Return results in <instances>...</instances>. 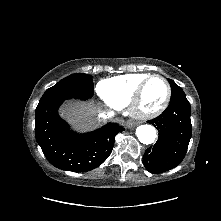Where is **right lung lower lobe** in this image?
<instances>
[{
  "mask_svg": "<svg viewBox=\"0 0 221 221\" xmlns=\"http://www.w3.org/2000/svg\"><path fill=\"white\" fill-rule=\"evenodd\" d=\"M81 96H61L39 102L35 113V135L45 157L57 168L90 171L101 165L110 155L116 134L124 128L109 123L102 128L79 134L59 116V106L68 99Z\"/></svg>",
  "mask_w": 221,
  "mask_h": 221,
  "instance_id": "obj_1",
  "label": "right lung lower lobe"
}]
</instances>
